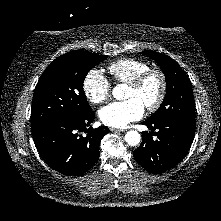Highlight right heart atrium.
<instances>
[{"label":"right heart atrium","mask_w":221,"mask_h":221,"mask_svg":"<svg viewBox=\"0 0 221 221\" xmlns=\"http://www.w3.org/2000/svg\"><path fill=\"white\" fill-rule=\"evenodd\" d=\"M83 91L91 103L101 104L109 98L111 85L100 70L92 69L83 80Z\"/></svg>","instance_id":"d8ad5b80"}]
</instances>
